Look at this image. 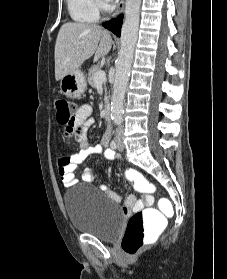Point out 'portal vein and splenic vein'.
<instances>
[{
    "mask_svg": "<svg viewBox=\"0 0 227 279\" xmlns=\"http://www.w3.org/2000/svg\"><path fill=\"white\" fill-rule=\"evenodd\" d=\"M106 80V73L103 70H99L94 75L95 82H104Z\"/></svg>",
    "mask_w": 227,
    "mask_h": 279,
    "instance_id": "18ae733b",
    "label": "portal vein and splenic vein"
}]
</instances>
